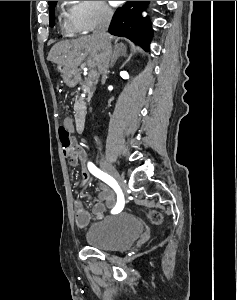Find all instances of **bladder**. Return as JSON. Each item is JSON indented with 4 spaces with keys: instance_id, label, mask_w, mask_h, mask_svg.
<instances>
[{
    "instance_id": "31cf9c89",
    "label": "bladder",
    "mask_w": 237,
    "mask_h": 300,
    "mask_svg": "<svg viewBox=\"0 0 237 300\" xmlns=\"http://www.w3.org/2000/svg\"><path fill=\"white\" fill-rule=\"evenodd\" d=\"M142 232L140 221L129 212L109 215L92 223L84 233L86 243L104 251L129 248Z\"/></svg>"
}]
</instances>
